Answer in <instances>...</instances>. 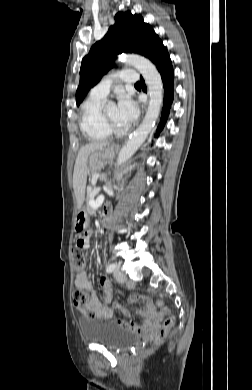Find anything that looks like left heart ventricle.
Returning a JSON list of instances; mask_svg holds the SVG:
<instances>
[{"mask_svg":"<svg viewBox=\"0 0 252 390\" xmlns=\"http://www.w3.org/2000/svg\"><path fill=\"white\" fill-rule=\"evenodd\" d=\"M105 114L107 115L108 119L116 124L117 126H122L120 121L118 120L117 116V107L116 105H111L105 110Z\"/></svg>","mask_w":252,"mask_h":390,"instance_id":"obj_1","label":"left heart ventricle"}]
</instances>
